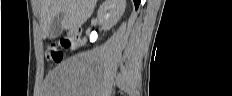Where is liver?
Here are the masks:
<instances>
[{"label":"liver","mask_w":232,"mask_h":96,"mask_svg":"<svg viewBox=\"0 0 232 96\" xmlns=\"http://www.w3.org/2000/svg\"><path fill=\"white\" fill-rule=\"evenodd\" d=\"M42 37L49 35L55 17L62 13L64 30L80 27L91 16L97 0H40Z\"/></svg>","instance_id":"1"}]
</instances>
